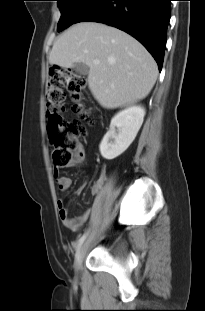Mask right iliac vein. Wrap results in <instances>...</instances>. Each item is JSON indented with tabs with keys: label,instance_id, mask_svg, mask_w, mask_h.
<instances>
[{
	"label": "right iliac vein",
	"instance_id": "obj_1",
	"mask_svg": "<svg viewBox=\"0 0 205 311\" xmlns=\"http://www.w3.org/2000/svg\"><path fill=\"white\" fill-rule=\"evenodd\" d=\"M85 250H86V244L83 243L81 244L77 251H76V255H75V268L78 271L81 267L84 255H85Z\"/></svg>",
	"mask_w": 205,
	"mask_h": 311
}]
</instances>
